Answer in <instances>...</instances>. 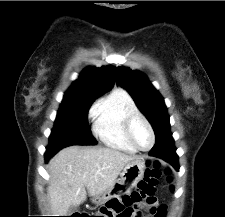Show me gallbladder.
<instances>
[{
	"label": "gallbladder",
	"mask_w": 225,
	"mask_h": 217,
	"mask_svg": "<svg viewBox=\"0 0 225 217\" xmlns=\"http://www.w3.org/2000/svg\"><path fill=\"white\" fill-rule=\"evenodd\" d=\"M78 210H79V207H78V206H71V207L69 208V211H68L69 216H70L71 214L77 212Z\"/></svg>",
	"instance_id": "bac80fb5"
}]
</instances>
